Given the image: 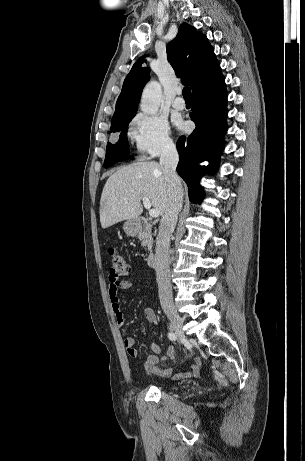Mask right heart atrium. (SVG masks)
<instances>
[{
  "mask_svg": "<svg viewBox=\"0 0 305 461\" xmlns=\"http://www.w3.org/2000/svg\"><path fill=\"white\" fill-rule=\"evenodd\" d=\"M130 136L137 153L152 158L174 149L170 126L167 120L147 114H137L130 124Z\"/></svg>",
  "mask_w": 305,
  "mask_h": 461,
  "instance_id": "obj_1",
  "label": "right heart atrium"
}]
</instances>
